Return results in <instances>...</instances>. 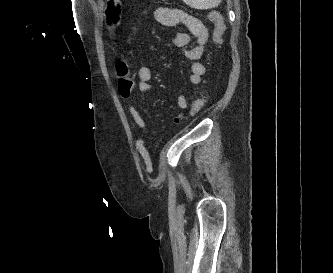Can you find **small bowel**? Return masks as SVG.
I'll use <instances>...</instances> for the list:
<instances>
[{"instance_id":"c3829d8e","label":"small bowel","mask_w":333,"mask_h":273,"mask_svg":"<svg viewBox=\"0 0 333 273\" xmlns=\"http://www.w3.org/2000/svg\"><path fill=\"white\" fill-rule=\"evenodd\" d=\"M153 17L155 21L162 26L182 27L185 29V32L171 37L170 42L174 46L181 48L185 57L190 61L189 81L193 84H199L205 73L203 55L208 40V29L205 23L187 12L173 7L157 8L153 11ZM137 76L139 79L138 96L151 93L153 91L151 84L153 74L151 69L148 66H141ZM135 102L136 97H132L129 100L128 111L138 128L146 132L147 124L136 108ZM177 104L182 110L189 108V101L184 93L181 92L178 94ZM180 119L181 117H176L175 123H178ZM135 147L145 163V170L151 172L152 162L150 154L145 147L143 137L136 139Z\"/></svg>"}]
</instances>
